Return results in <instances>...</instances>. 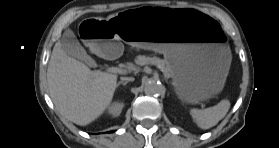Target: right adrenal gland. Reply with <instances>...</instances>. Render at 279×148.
Returning a JSON list of instances; mask_svg holds the SVG:
<instances>
[{
    "label": "right adrenal gland",
    "instance_id": "2a0ac1e0",
    "mask_svg": "<svg viewBox=\"0 0 279 148\" xmlns=\"http://www.w3.org/2000/svg\"><path fill=\"white\" fill-rule=\"evenodd\" d=\"M128 81H120L117 83L116 87H119V85H126Z\"/></svg>",
    "mask_w": 279,
    "mask_h": 148
}]
</instances>
